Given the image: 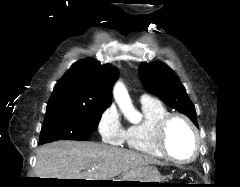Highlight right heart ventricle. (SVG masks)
Returning <instances> with one entry per match:
<instances>
[{
    "label": "right heart ventricle",
    "mask_w": 240,
    "mask_h": 187,
    "mask_svg": "<svg viewBox=\"0 0 240 187\" xmlns=\"http://www.w3.org/2000/svg\"><path fill=\"white\" fill-rule=\"evenodd\" d=\"M144 119L126 130L125 143L135 152L153 158H163L156 145V129L160 120L169 114L168 109L158 101L142 103Z\"/></svg>",
    "instance_id": "right-heart-ventricle-1"
}]
</instances>
